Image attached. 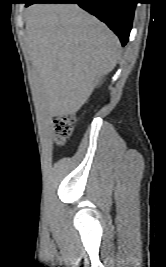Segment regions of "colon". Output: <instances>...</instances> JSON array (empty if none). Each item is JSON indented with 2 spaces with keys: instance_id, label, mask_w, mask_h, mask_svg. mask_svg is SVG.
I'll use <instances>...</instances> for the list:
<instances>
[{
  "instance_id": "5ec220e1",
  "label": "colon",
  "mask_w": 166,
  "mask_h": 267,
  "mask_svg": "<svg viewBox=\"0 0 166 267\" xmlns=\"http://www.w3.org/2000/svg\"><path fill=\"white\" fill-rule=\"evenodd\" d=\"M75 116L71 113H64L55 118V130L57 143L62 145L70 137L73 129Z\"/></svg>"
}]
</instances>
